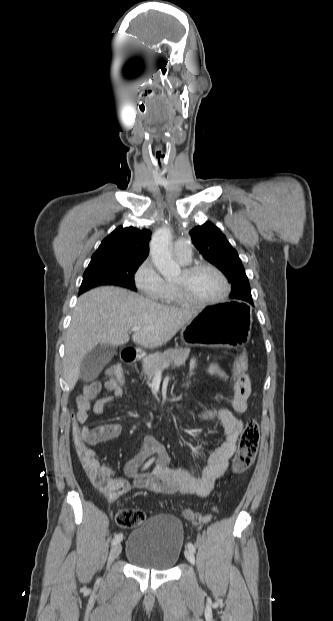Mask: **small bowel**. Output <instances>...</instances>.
<instances>
[{"mask_svg": "<svg viewBox=\"0 0 333 621\" xmlns=\"http://www.w3.org/2000/svg\"><path fill=\"white\" fill-rule=\"evenodd\" d=\"M199 366V360L193 359L191 370L195 371ZM208 372L211 375L224 377V372L216 364L209 366ZM105 388L110 392V395L98 398L102 385L98 381L90 382L83 387L81 394L76 397V418L83 425L81 434L90 445L117 438L122 433L121 425L118 423H107L92 429L86 425L89 420L92 400H94V413L102 415L109 403L123 395V388L111 377L106 381ZM250 393L249 377L246 374L232 386L231 409L221 408L218 410V420L223 427V441L204 461L199 475L186 469L170 467V458L163 446L156 438L147 436L143 441L142 450L125 464V473L133 479V486L155 493L208 496L212 492L215 482L226 472L230 459L236 453L237 439L243 428L242 420L236 414H243L247 411ZM152 455L158 456L157 467L151 474H139V468ZM105 471L114 485V492L108 497L109 500H116L131 488L127 480L116 478L112 470L105 468Z\"/></svg>", "mask_w": 333, "mask_h": 621, "instance_id": "c3829d8e", "label": "small bowel"}]
</instances>
